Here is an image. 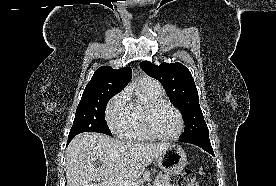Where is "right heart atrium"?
I'll list each match as a JSON object with an SVG mask.
<instances>
[{
  "instance_id": "d8ad5b80",
  "label": "right heart atrium",
  "mask_w": 276,
  "mask_h": 186,
  "mask_svg": "<svg viewBox=\"0 0 276 186\" xmlns=\"http://www.w3.org/2000/svg\"><path fill=\"white\" fill-rule=\"evenodd\" d=\"M128 100V91L122 90L113 96L107 105L106 119L108 125L117 133H120L128 127L131 122V113Z\"/></svg>"
}]
</instances>
